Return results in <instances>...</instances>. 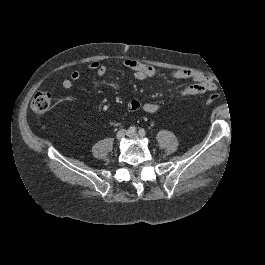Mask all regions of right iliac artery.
Listing matches in <instances>:
<instances>
[{"label": "right iliac artery", "instance_id": "1", "mask_svg": "<svg viewBox=\"0 0 265 265\" xmlns=\"http://www.w3.org/2000/svg\"><path fill=\"white\" fill-rule=\"evenodd\" d=\"M128 132L129 133H135L136 132V127L135 126H131L128 128Z\"/></svg>", "mask_w": 265, "mask_h": 265}]
</instances>
